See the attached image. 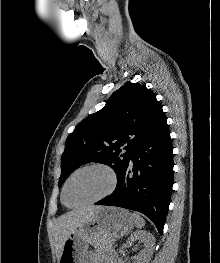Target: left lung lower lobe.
I'll list each match as a JSON object with an SVG mask.
<instances>
[{
  "instance_id": "obj_1",
  "label": "left lung lower lobe",
  "mask_w": 220,
  "mask_h": 263,
  "mask_svg": "<svg viewBox=\"0 0 220 263\" xmlns=\"http://www.w3.org/2000/svg\"><path fill=\"white\" fill-rule=\"evenodd\" d=\"M172 158L173 147L165 117L135 145L115 191L95 204L141 212L162 234L173 186Z\"/></svg>"
}]
</instances>
